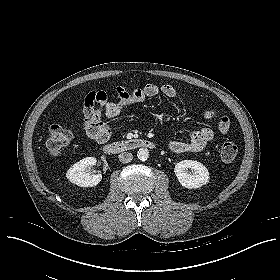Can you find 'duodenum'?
Wrapping results in <instances>:
<instances>
[{"label": "duodenum", "mask_w": 280, "mask_h": 280, "mask_svg": "<svg viewBox=\"0 0 280 280\" xmlns=\"http://www.w3.org/2000/svg\"><path fill=\"white\" fill-rule=\"evenodd\" d=\"M155 146V143L148 139H128L107 144L103 150L106 154H120L142 148L153 149Z\"/></svg>", "instance_id": "410a0bca"}]
</instances>
